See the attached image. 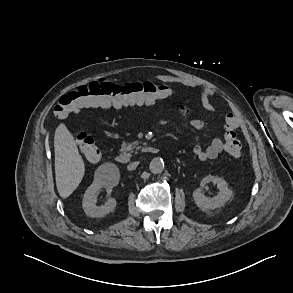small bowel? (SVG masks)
I'll list each match as a JSON object with an SVG mask.
<instances>
[{"instance_id":"c3829d8e","label":"small bowel","mask_w":293,"mask_h":293,"mask_svg":"<svg viewBox=\"0 0 293 293\" xmlns=\"http://www.w3.org/2000/svg\"><path fill=\"white\" fill-rule=\"evenodd\" d=\"M158 80H160L163 83H181L183 85L189 86V87H194L195 84L183 80L174 76L170 75H159ZM214 96V91L211 88H204L201 92V103L202 106L205 110L209 112H214L215 107L211 103V98ZM159 102V100H154V101H144L140 103H135L137 106H152ZM179 112L187 116L189 115V112L186 108H181ZM169 122L168 118H161L158 123L160 124H165ZM188 127L190 131H195V130H201L206 127V123L200 119H190L188 122ZM225 149V144L220 138H214L210 144L207 147H202L201 145H194L193 146V153L195 156L201 160V161H208V160H213L216 159Z\"/></svg>"}]
</instances>
